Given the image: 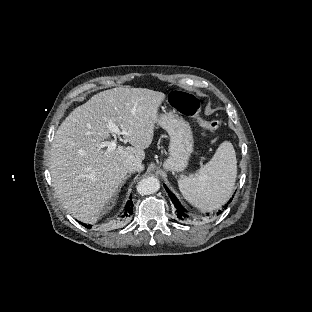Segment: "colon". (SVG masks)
I'll return each mask as SVG.
<instances>
[{
  "instance_id": "colon-1",
  "label": "colon",
  "mask_w": 312,
  "mask_h": 312,
  "mask_svg": "<svg viewBox=\"0 0 312 312\" xmlns=\"http://www.w3.org/2000/svg\"><path fill=\"white\" fill-rule=\"evenodd\" d=\"M171 106L181 114L195 117L199 125L209 130H218L223 126L220 119H204L199 117L202 108V101L191 93L176 91L170 98Z\"/></svg>"
}]
</instances>
